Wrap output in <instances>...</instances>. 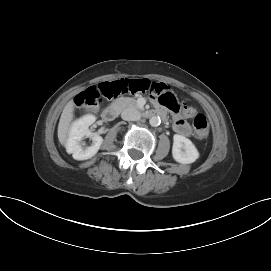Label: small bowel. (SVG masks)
Masks as SVG:
<instances>
[{
	"mask_svg": "<svg viewBox=\"0 0 271 271\" xmlns=\"http://www.w3.org/2000/svg\"><path fill=\"white\" fill-rule=\"evenodd\" d=\"M168 88V81L167 80H156L155 81V86L151 88V93L153 95H161L163 93V89ZM153 102L156 105H159L160 103L157 101L156 98H153ZM192 113V111H190ZM174 130L185 137H188L191 135V127L190 125L182 118L177 116L175 118L174 122Z\"/></svg>",
	"mask_w": 271,
	"mask_h": 271,
	"instance_id": "small-bowel-1",
	"label": "small bowel"
}]
</instances>
